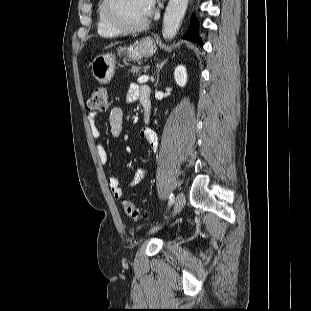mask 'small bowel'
I'll return each instance as SVG.
<instances>
[{"label": "small bowel", "mask_w": 311, "mask_h": 311, "mask_svg": "<svg viewBox=\"0 0 311 311\" xmlns=\"http://www.w3.org/2000/svg\"><path fill=\"white\" fill-rule=\"evenodd\" d=\"M139 100L143 106V102L146 101L150 104V89L147 86H140L137 84L131 85L127 94V102L132 103ZM144 108V107H143ZM97 112L91 111L87 114L86 120L92 137L99 141L101 132L96 123ZM123 110L120 107H113L109 112V128L113 137H119L123 130ZM139 136L142 140L148 142L150 147L156 151L159 147V142L155 131L150 126H145L140 130ZM97 154L102 164H106L108 161L107 152L104 147L97 143ZM146 170L140 168L134 172L132 177L128 181V186L133 187L138 185L145 178ZM107 185L110 188L115 199L122 198V190L120 188V180L116 176H109L107 178Z\"/></svg>", "instance_id": "small-bowel-1"}]
</instances>
